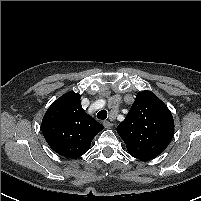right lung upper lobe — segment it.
<instances>
[{"label":"right lung upper lobe","mask_w":201,"mask_h":201,"mask_svg":"<svg viewBox=\"0 0 201 201\" xmlns=\"http://www.w3.org/2000/svg\"><path fill=\"white\" fill-rule=\"evenodd\" d=\"M81 95L68 92L47 110L41 124L43 136L52 150L66 158L86 153L103 125L82 108Z\"/></svg>","instance_id":"1"}]
</instances>
